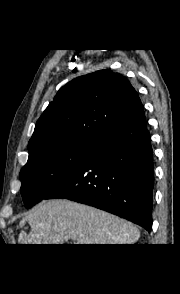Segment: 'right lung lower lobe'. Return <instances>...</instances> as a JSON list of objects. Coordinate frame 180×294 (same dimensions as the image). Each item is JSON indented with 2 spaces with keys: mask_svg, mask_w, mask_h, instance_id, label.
Wrapping results in <instances>:
<instances>
[{
  "mask_svg": "<svg viewBox=\"0 0 180 294\" xmlns=\"http://www.w3.org/2000/svg\"><path fill=\"white\" fill-rule=\"evenodd\" d=\"M153 151L143 106L103 135L77 170L46 199L66 198L152 226Z\"/></svg>",
  "mask_w": 180,
  "mask_h": 294,
  "instance_id": "obj_1",
  "label": "right lung lower lobe"
}]
</instances>
